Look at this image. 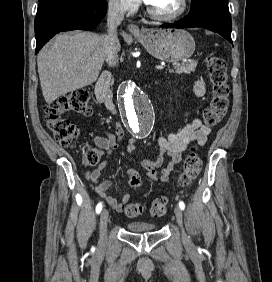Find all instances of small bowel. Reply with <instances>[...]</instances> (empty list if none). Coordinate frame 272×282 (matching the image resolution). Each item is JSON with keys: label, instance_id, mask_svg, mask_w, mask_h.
Returning a JSON list of instances; mask_svg holds the SVG:
<instances>
[{"label": "small bowel", "instance_id": "small-bowel-1", "mask_svg": "<svg viewBox=\"0 0 272 282\" xmlns=\"http://www.w3.org/2000/svg\"><path fill=\"white\" fill-rule=\"evenodd\" d=\"M194 92L198 96H203L205 93V84L203 80H198L194 87ZM210 128L203 125L200 119H194L191 123L184 126L176 132H167L158 138L160 147L159 155L156 160H143L141 166L146 172L147 176L159 183H166L173 171L174 166L181 163L183 152L193 143L203 145L207 141L210 134ZM125 131L120 124L116 125L114 133L104 132L102 135L94 137L95 144L101 148L107 155L117 148H119L122 140L124 139ZM137 148V140L131 139L127 142L125 151L133 153ZM165 156H169L171 161L165 165L161 173L156 171L157 167H161L164 163ZM107 165V159L104 160L98 168L86 174L87 180L93 185L95 192L103 198L113 209L121 212L123 207L130 201V194L125 193L122 195L121 200L118 201L113 196L108 195V189L112 185V180L101 181V174ZM132 171L130 174H134ZM138 189L139 187H132Z\"/></svg>", "mask_w": 272, "mask_h": 282}]
</instances>
